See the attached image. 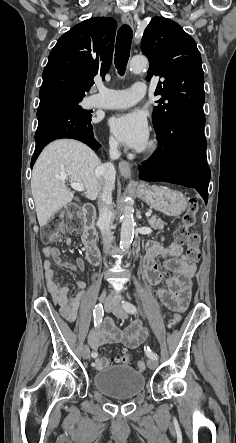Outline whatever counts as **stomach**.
I'll list each match as a JSON object with an SVG mask.
<instances>
[{"mask_svg": "<svg viewBox=\"0 0 236 443\" xmlns=\"http://www.w3.org/2000/svg\"><path fill=\"white\" fill-rule=\"evenodd\" d=\"M135 191L152 209L167 216H179L187 207V200L181 192L165 186L143 184Z\"/></svg>", "mask_w": 236, "mask_h": 443, "instance_id": "0dacf381", "label": "stomach"}]
</instances>
